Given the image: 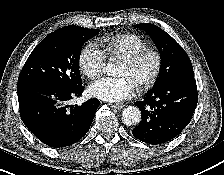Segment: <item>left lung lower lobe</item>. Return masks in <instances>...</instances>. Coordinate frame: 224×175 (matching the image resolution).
Segmentation results:
<instances>
[{"label":"left lung lower lobe","mask_w":224,"mask_h":175,"mask_svg":"<svg viewBox=\"0 0 224 175\" xmlns=\"http://www.w3.org/2000/svg\"><path fill=\"white\" fill-rule=\"evenodd\" d=\"M198 102L194 76H180L153 87L135 105L142 121L132 131L142 142L158 145L177 137L189 124Z\"/></svg>","instance_id":"left-lung-lower-lobe-1"}]
</instances>
